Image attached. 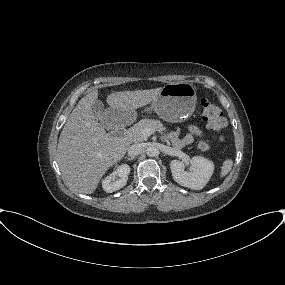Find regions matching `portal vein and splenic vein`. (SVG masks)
<instances>
[{
	"instance_id": "1",
	"label": "portal vein and splenic vein",
	"mask_w": 285,
	"mask_h": 285,
	"mask_svg": "<svg viewBox=\"0 0 285 285\" xmlns=\"http://www.w3.org/2000/svg\"><path fill=\"white\" fill-rule=\"evenodd\" d=\"M155 132V130L151 129V128H145L142 131L143 136L145 137H149L150 135H152Z\"/></svg>"
}]
</instances>
